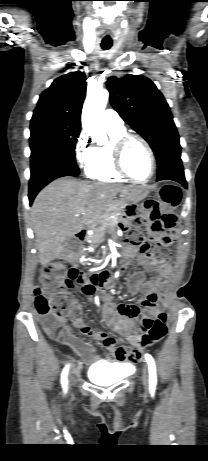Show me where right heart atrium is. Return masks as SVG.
<instances>
[{
    "mask_svg": "<svg viewBox=\"0 0 208 461\" xmlns=\"http://www.w3.org/2000/svg\"><path fill=\"white\" fill-rule=\"evenodd\" d=\"M90 151L88 137L84 132H81L74 147V157L79 166L84 167L86 165Z\"/></svg>",
    "mask_w": 208,
    "mask_h": 461,
    "instance_id": "d8ad5b80",
    "label": "right heart atrium"
}]
</instances>
